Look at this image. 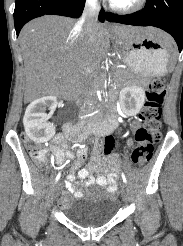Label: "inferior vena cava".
<instances>
[{"mask_svg":"<svg viewBox=\"0 0 183 246\" xmlns=\"http://www.w3.org/2000/svg\"><path fill=\"white\" fill-rule=\"evenodd\" d=\"M100 6L98 0H86L85 8L77 26L81 27L86 35H90L97 24Z\"/></svg>","mask_w":183,"mask_h":246,"instance_id":"inferior-vena-cava-1","label":"inferior vena cava"}]
</instances>
